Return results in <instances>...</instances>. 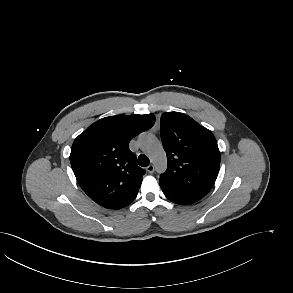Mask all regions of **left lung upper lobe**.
<instances>
[{"mask_svg": "<svg viewBox=\"0 0 293 293\" xmlns=\"http://www.w3.org/2000/svg\"><path fill=\"white\" fill-rule=\"evenodd\" d=\"M161 139L167 170L160 186L203 198L213 187L220 168V152L211 131L179 112L161 116Z\"/></svg>", "mask_w": 293, "mask_h": 293, "instance_id": "1", "label": "left lung upper lobe"}]
</instances>
